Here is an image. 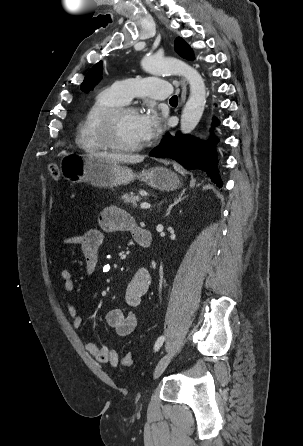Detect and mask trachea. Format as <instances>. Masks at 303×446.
I'll return each instance as SVG.
<instances>
[{
    "instance_id": "obj_1",
    "label": "trachea",
    "mask_w": 303,
    "mask_h": 446,
    "mask_svg": "<svg viewBox=\"0 0 303 446\" xmlns=\"http://www.w3.org/2000/svg\"><path fill=\"white\" fill-rule=\"evenodd\" d=\"M170 103H178V97L175 95L173 97H171Z\"/></svg>"
}]
</instances>
